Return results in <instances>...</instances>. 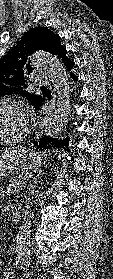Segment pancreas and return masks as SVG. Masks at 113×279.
<instances>
[{"instance_id": "1", "label": "pancreas", "mask_w": 113, "mask_h": 279, "mask_svg": "<svg viewBox=\"0 0 113 279\" xmlns=\"http://www.w3.org/2000/svg\"><path fill=\"white\" fill-rule=\"evenodd\" d=\"M30 175L31 174L28 172H22L18 176L11 178L9 180L8 186L6 187V194H15L16 192L20 191L24 186L26 180L30 178Z\"/></svg>"}]
</instances>
